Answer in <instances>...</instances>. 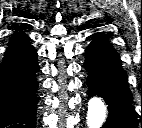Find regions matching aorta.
<instances>
[{"label": "aorta", "instance_id": "obj_1", "mask_svg": "<svg viewBox=\"0 0 142 128\" xmlns=\"http://www.w3.org/2000/svg\"><path fill=\"white\" fill-rule=\"evenodd\" d=\"M106 106L99 97H93L88 101L87 126L100 128L106 119Z\"/></svg>", "mask_w": 142, "mask_h": 128}]
</instances>
